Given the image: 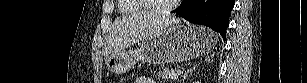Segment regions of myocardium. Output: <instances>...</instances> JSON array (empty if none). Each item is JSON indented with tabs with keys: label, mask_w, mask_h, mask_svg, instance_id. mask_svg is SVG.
Instances as JSON below:
<instances>
[{
	"label": "myocardium",
	"mask_w": 307,
	"mask_h": 83,
	"mask_svg": "<svg viewBox=\"0 0 307 83\" xmlns=\"http://www.w3.org/2000/svg\"><path fill=\"white\" fill-rule=\"evenodd\" d=\"M139 3L143 5L145 10L151 12L154 15H167L170 12L173 11V9L177 6V4L180 2V0H172L170 3H168L166 6L158 8V9H152L149 5V1L147 0H138Z\"/></svg>",
	"instance_id": "myocardium-1"
}]
</instances>
